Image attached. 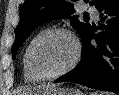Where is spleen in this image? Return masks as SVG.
<instances>
[{
	"label": "spleen",
	"instance_id": "obj_1",
	"mask_svg": "<svg viewBox=\"0 0 119 95\" xmlns=\"http://www.w3.org/2000/svg\"><path fill=\"white\" fill-rule=\"evenodd\" d=\"M90 95H97V93H91ZM100 95H114L112 93H101Z\"/></svg>",
	"mask_w": 119,
	"mask_h": 95
}]
</instances>
